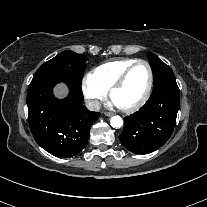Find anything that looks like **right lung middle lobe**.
Masks as SVG:
<instances>
[{
    "instance_id": "dd1d6c3e",
    "label": "right lung middle lobe",
    "mask_w": 207,
    "mask_h": 207,
    "mask_svg": "<svg viewBox=\"0 0 207 207\" xmlns=\"http://www.w3.org/2000/svg\"><path fill=\"white\" fill-rule=\"evenodd\" d=\"M88 58L72 51H64L40 66L32 81L53 78L81 88L83 73Z\"/></svg>"
}]
</instances>
